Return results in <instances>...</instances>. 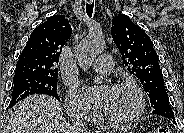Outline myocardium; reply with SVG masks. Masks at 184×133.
<instances>
[{
	"instance_id": "1",
	"label": "myocardium",
	"mask_w": 184,
	"mask_h": 133,
	"mask_svg": "<svg viewBox=\"0 0 184 133\" xmlns=\"http://www.w3.org/2000/svg\"><path fill=\"white\" fill-rule=\"evenodd\" d=\"M114 88H118V89H130L131 91H133V93L136 96L137 99V107L136 110L129 116L125 117V118H121V119H115L112 118L110 116H107L105 114H103V118L110 124L115 125V126H127V125H131L133 123H135L136 121H138L141 116L144 114L145 109H146V100H145V95L142 91V89L140 88V86L134 82V81H121L118 82Z\"/></svg>"
}]
</instances>
